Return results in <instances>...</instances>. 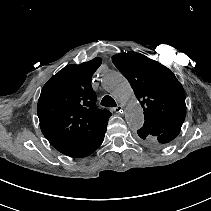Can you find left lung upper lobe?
I'll return each mask as SVG.
<instances>
[{
    "label": "left lung upper lobe",
    "mask_w": 211,
    "mask_h": 211,
    "mask_svg": "<svg viewBox=\"0 0 211 211\" xmlns=\"http://www.w3.org/2000/svg\"><path fill=\"white\" fill-rule=\"evenodd\" d=\"M114 65L129 81L144 110V124L137 131L151 148H162L180 133L185 120V92L173 72L139 53L112 57Z\"/></svg>",
    "instance_id": "1"
}]
</instances>
